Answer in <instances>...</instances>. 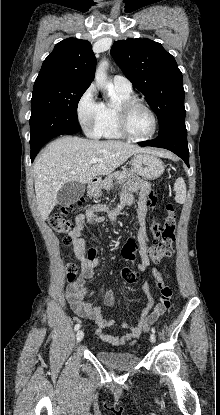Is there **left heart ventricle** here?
I'll use <instances>...</instances> for the list:
<instances>
[{"label":"left heart ventricle","instance_id":"left-heart-ventricle-1","mask_svg":"<svg viewBox=\"0 0 220 415\" xmlns=\"http://www.w3.org/2000/svg\"><path fill=\"white\" fill-rule=\"evenodd\" d=\"M127 128L133 136H147L153 128L152 117L144 108L135 107L127 116Z\"/></svg>","mask_w":220,"mask_h":415}]
</instances>
